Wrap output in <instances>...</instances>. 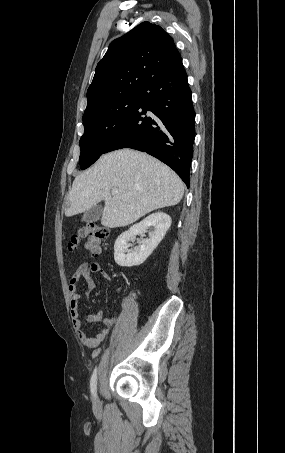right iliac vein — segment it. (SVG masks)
<instances>
[{
    "mask_svg": "<svg viewBox=\"0 0 285 453\" xmlns=\"http://www.w3.org/2000/svg\"><path fill=\"white\" fill-rule=\"evenodd\" d=\"M94 405L95 407L98 409L100 407V401H99V398L96 396L95 399H94Z\"/></svg>",
    "mask_w": 285,
    "mask_h": 453,
    "instance_id": "1",
    "label": "right iliac vein"
}]
</instances>
